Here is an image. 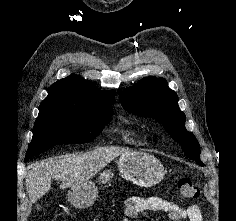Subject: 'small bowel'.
<instances>
[{"mask_svg": "<svg viewBox=\"0 0 236 221\" xmlns=\"http://www.w3.org/2000/svg\"><path fill=\"white\" fill-rule=\"evenodd\" d=\"M166 212L171 221H202V213L197 204L181 207L161 197L132 196L127 198L121 221L137 219L144 212Z\"/></svg>", "mask_w": 236, "mask_h": 221, "instance_id": "1", "label": "small bowel"}]
</instances>
